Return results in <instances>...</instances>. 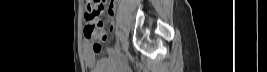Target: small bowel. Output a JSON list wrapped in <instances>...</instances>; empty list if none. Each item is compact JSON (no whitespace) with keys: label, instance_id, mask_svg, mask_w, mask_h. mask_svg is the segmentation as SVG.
Wrapping results in <instances>:
<instances>
[{"label":"small bowel","instance_id":"1","mask_svg":"<svg viewBox=\"0 0 267 72\" xmlns=\"http://www.w3.org/2000/svg\"><path fill=\"white\" fill-rule=\"evenodd\" d=\"M108 12L110 15H113L114 13L113 4H110ZM86 45L87 46L84 57L89 69L92 72H112L114 61L111 58H106V57L97 60L95 51L92 50V47L88 41Z\"/></svg>","mask_w":267,"mask_h":72}]
</instances>
